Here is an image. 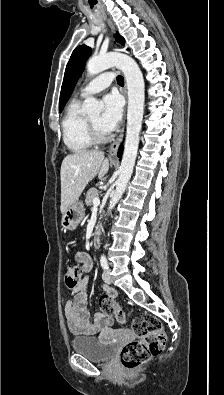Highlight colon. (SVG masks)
Wrapping results in <instances>:
<instances>
[{
	"instance_id": "5ec220e1",
	"label": "colon",
	"mask_w": 224,
	"mask_h": 395,
	"mask_svg": "<svg viewBox=\"0 0 224 395\" xmlns=\"http://www.w3.org/2000/svg\"><path fill=\"white\" fill-rule=\"evenodd\" d=\"M80 276L81 271L79 267H68L66 278L70 287L77 285ZM99 306L104 314L113 316L121 324L126 323L125 312L111 296H102ZM132 330L136 335V339L124 345L119 353L120 362L125 369L139 367L151 357L160 354L167 340L160 321L150 314L137 315L132 322Z\"/></svg>"
}]
</instances>
